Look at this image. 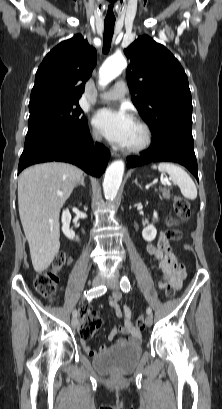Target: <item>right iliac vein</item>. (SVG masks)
Segmentation results:
<instances>
[{
  "label": "right iliac vein",
  "mask_w": 222,
  "mask_h": 409,
  "mask_svg": "<svg viewBox=\"0 0 222 409\" xmlns=\"http://www.w3.org/2000/svg\"><path fill=\"white\" fill-rule=\"evenodd\" d=\"M105 282H106V278H105V277H103V276H97V277H95V278L93 279L92 285H93L94 287H98V286H100V285H103ZM71 323H72V326H73V327H78V326H79L78 320H77L75 317L72 318V322H71Z\"/></svg>",
  "instance_id": "63e3f726"
}]
</instances>
